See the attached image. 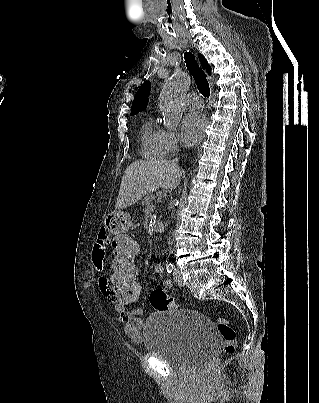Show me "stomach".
<instances>
[{"label":"stomach","mask_w":319,"mask_h":403,"mask_svg":"<svg viewBox=\"0 0 319 403\" xmlns=\"http://www.w3.org/2000/svg\"><path fill=\"white\" fill-rule=\"evenodd\" d=\"M130 212H110L104 221L105 228L112 234H129L132 228Z\"/></svg>","instance_id":"1"}]
</instances>
